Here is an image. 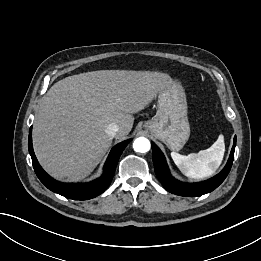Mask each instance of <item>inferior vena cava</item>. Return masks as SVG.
I'll list each match as a JSON object with an SVG mask.
<instances>
[{
    "label": "inferior vena cava",
    "instance_id": "1",
    "mask_svg": "<svg viewBox=\"0 0 261 261\" xmlns=\"http://www.w3.org/2000/svg\"><path fill=\"white\" fill-rule=\"evenodd\" d=\"M105 131L109 136L114 137L119 131V126L116 123H110Z\"/></svg>",
    "mask_w": 261,
    "mask_h": 261
}]
</instances>
